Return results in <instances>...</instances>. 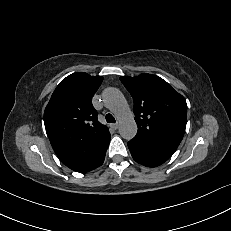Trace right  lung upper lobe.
Wrapping results in <instances>:
<instances>
[{
  "label": "right lung upper lobe",
  "instance_id": "obj_1",
  "mask_svg": "<svg viewBox=\"0 0 231 231\" xmlns=\"http://www.w3.org/2000/svg\"><path fill=\"white\" fill-rule=\"evenodd\" d=\"M102 76L74 73L63 79L44 111V124L59 159L72 170L94 162L110 137L108 128L97 120L92 97Z\"/></svg>",
  "mask_w": 231,
  "mask_h": 231
}]
</instances>
